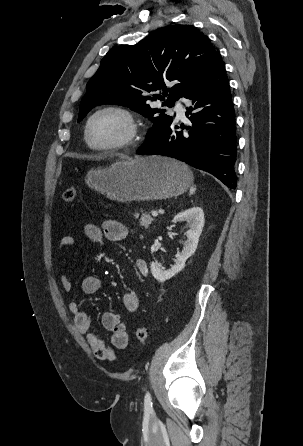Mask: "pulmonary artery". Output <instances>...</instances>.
I'll return each instance as SVG.
<instances>
[{"label":"pulmonary artery","mask_w":303,"mask_h":446,"mask_svg":"<svg viewBox=\"0 0 303 446\" xmlns=\"http://www.w3.org/2000/svg\"><path fill=\"white\" fill-rule=\"evenodd\" d=\"M174 109H175L177 115L180 118H184L185 117V107L183 105V100L182 99H180V100H178L176 102Z\"/></svg>","instance_id":"e3ab8cb5"}]
</instances>
